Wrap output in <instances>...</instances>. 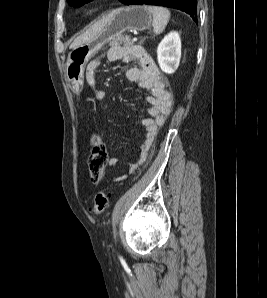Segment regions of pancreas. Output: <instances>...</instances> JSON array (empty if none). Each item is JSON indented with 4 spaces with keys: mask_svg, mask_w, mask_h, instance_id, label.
I'll use <instances>...</instances> for the list:
<instances>
[{
    "mask_svg": "<svg viewBox=\"0 0 267 298\" xmlns=\"http://www.w3.org/2000/svg\"><path fill=\"white\" fill-rule=\"evenodd\" d=\"M112 45L123 44L124 46H131L133 40L131 36H117L111 43Z\"/></svg>",
    "mask_w": 267,
    "mask_h": 298,
    "instance_id": "cf45deb5",
    "label": "pancreas"
}]
</instances>
